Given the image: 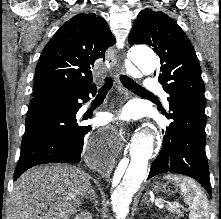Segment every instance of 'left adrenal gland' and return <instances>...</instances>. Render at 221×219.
Returning a JSON list of instances; mask_svg holds the SVG:
<instances>
[{
  "instance_id": "obj_1",
  "label": "left adrenal gland",
  "mask_w": 221,
  "mask_h": 219,
  "mask_svg": "<svg viewBox=\"0 0 221 219\" xmlns=\"http://www.w3.org/2000/svg\"><path fill=\"white\" fill-rule=\"evenodd\" d=\"M147 200L146 194L143 196L142 202H145Z\"/></svg>"
}]
</instances>
